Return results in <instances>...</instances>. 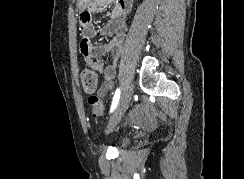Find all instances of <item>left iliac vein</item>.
Returning a JSON list of instances; mask_svg holds the SVG:
<instances>
[{
  "mask_svg": "<svg viewBox=\"0 0 244 179\" xmlns=\"http://www.w3.org/2000/svg\"><path fill=\"white\" fill-rule=\"evenodd\" d=\"M133 84L129 83L123 90L118 106L107 124V132H111L127 111L133 98Z\"/></svg>",
  "mask_w": 244,
  "mask_h": 179,
  "instance_id": "left-iliac-vein-1",
  "label": "left iliac vein"
}]
</instances>
